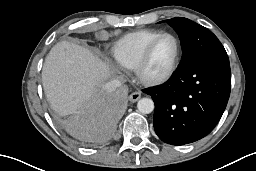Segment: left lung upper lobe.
Returning <instances> with one entry per match:
<instances>
[{
    "instance_id": "left-lung-upper-lobe-1",
    "label": "left lung upper lobe",
    "mask_w": 256,
    "mask_h": 171,
    "mask_svg": "<svg viewBox=\"0 0 256 171\" xmlns=\"http://www.w3.org/2000/svg\"><path fill=\"white\" fill-rule=\"evenodd\" d=\"M178 33L183 56L180 66L208 55L226 54L218 38L205 27L183 17L167 20Z\"/></svg>"
}]
</instances>
